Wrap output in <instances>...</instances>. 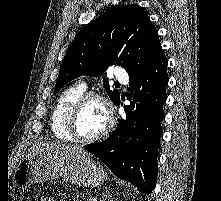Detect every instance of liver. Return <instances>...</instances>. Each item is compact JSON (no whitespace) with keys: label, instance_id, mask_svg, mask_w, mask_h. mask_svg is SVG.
Instances as JSON below:
<instances>
[{"label":"liver","instance_id":"1","mask_svg":"<svg viewBox=\"0 0 221 201\" xmlns=\"http://www.w3.org/2000/svg\"><path fill=\"white\" fill-rule=\"evenodd\" d=\"M34 153L67 155V154H80L86 152L78 146H68L61 143L44 142L36 144L31 148L30 154Z\"/></svg>","mask_w":221,"mask_h":201}]
</instances>
